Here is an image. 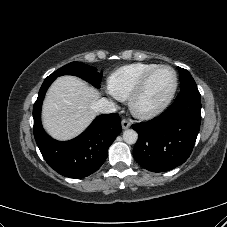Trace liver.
I'll return each mask as SVG.
<instances>
[{"mask_svg": "<svg viewBox=\"0 0 227 227\" xmlns=\"http://www.w3.org/2000/svg\"><path fill=\"white\" fill-rule=\"evenodd\" d=\"M99 97L96 89L75 76L57 78L43 103L44 128L58 140L77 136L95 117Z\"/></svg>", "mask_w": 227, "mask_h": 227, "instance_id": "obj_1", "label": "liver"}]
</instances>
